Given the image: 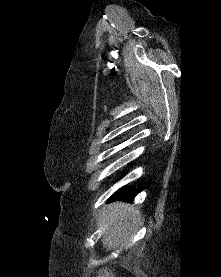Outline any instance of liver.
Listing matches in <instances>:
<instances>
[{
  "label": "liver",
  "instance_id": "liver-1",
  "mask_svg": "<svg viewBox=\"0 0 221 277\" xmlns=\"http://www.w3.org/2000/svg\"><path fill=\"white\" fill-rule=\"evenodd\" d=\"M101 219L106 225L102 243L107 250H111L117 248L133 234L135 226L141 221V214L136 207L117 202L104 209ZM113 275L107 267L97 273V277H113Z\"/></svg>",
  "mask_w": 221,
  "mask_h": 277
}]
</instances>
